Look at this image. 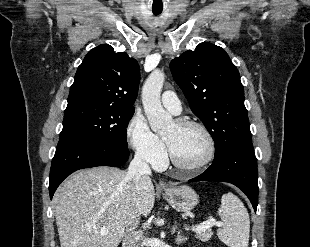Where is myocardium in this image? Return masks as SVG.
<instances>
[{"mask_svg":"<svg viewBox=\"0 0 310 247\" xmlns=\"http://www.w3.org/2000/svg\"><path fill=\"white\" fill-rule=\"evenodd\" d=\"M175 124L180 128L194 127V128H198L199 130H201L203 132V134L205 135L207 142H208V153H207V156L205 157V159L203 161H201L200 163L195 164V165H185V164H182L181 162H179L174 157L168 143L165 141V143L167 145L168 156H169V160H170L171 164L174 167H176L180 170L189 172V173H197V172L202 171L204 168H206L213 161V159L215 157L216 144H215V140H214L213 135L211 134L209 129L204 124H202L198 121L178 120V121H176Z\"/></svg>","mask_w":310,"mask_h":247,"instance_id":"myocardium-1","label":"myocardium"}]
</instances>
